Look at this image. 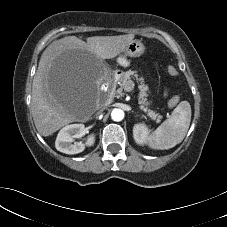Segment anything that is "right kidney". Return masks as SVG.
Returning a JSON list of instances; mask_svg holds the SVG:
<instances>
[{
    "instance_id": "1",
    "label": "right kidney",
    "mask_w": 227,
    "mask_h": 227,
    "mask_svg": "<svg viewBox=\"0 0 227 227\" xmlns=\"http://www.w3.org/2000/svg\"><path fill=\"white\" fill-rule=\"evenodd\" d=\"M85 134L83 124H71L63 127L56 138L55 147L58 151L66 154H77L85 149V146H92L95 143V134H90L85 143L74 142L75 137ZM74 142V143H73Z\"/></svg>"
}]
</instances>
